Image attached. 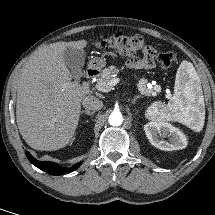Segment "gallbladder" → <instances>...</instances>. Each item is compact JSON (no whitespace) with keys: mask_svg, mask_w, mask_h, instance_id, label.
Returning a JSON list of instances; mask_svg holds the SVG:
<instances>
[{"mask_svg":"<svg viewBox=\"0 0 215 215\" xmlns=\"http://www.w3.org/2000/svg\"><path fill=\"white\" fill-rule=\"evenodd\" d=\"M85 56L86 54L83 49H75L71 47H66L64 49L63 59L75 78H80L82 76Z\"/></svg>","mask_w":215,"mask_h":215,"instance_id":"obj_1","label":"gallbladder"}]
</instances>
